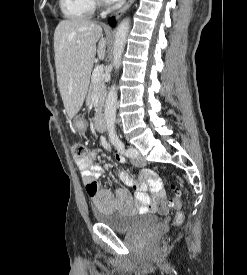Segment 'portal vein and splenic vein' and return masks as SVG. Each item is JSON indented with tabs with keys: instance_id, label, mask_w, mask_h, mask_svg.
<instances>
[{
	"instance_id": "obj_1",
	"label": "portal vein and splenic vein",
	"mask_w": 247,
	"mask_h": 275,
	"mask_svg": "<svg viewBox=\"0 0 247 275\" xmlns=\"http://www.w3.org/2000/svg\"><path fill=\"white\" fill-rule=\"evenodd\" d=\"M103 75V67L97 66L92 73V80L99 81Z\"/></svg>"
}]
</instances>
